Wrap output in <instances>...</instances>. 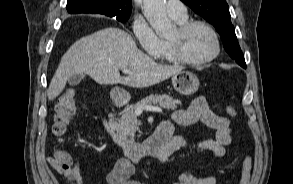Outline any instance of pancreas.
<instances>
[{
  "label": "pancreas",
  "instance_id": "cf45deb5",
  "mask_svg": "<svg viewBox=\"0 0 293 184\" xmlns=\"http://www.w3.org/2000/svg\"><path fill=\"white\" fill-rule=\"evenodd\" d=\"M180 104V100L173 99L169 95L151 94L134 105L129 106L124 111L121 118L118 120L117 130L123 136L133 140L135 132L139 130V126L141 125L140 120L136 116V109L138 107L159 105L167 110H175Z\"/></svg>",
  "mask_w": 293,
  "mask_h": 184
}]
</instances>
